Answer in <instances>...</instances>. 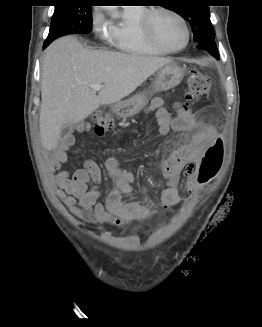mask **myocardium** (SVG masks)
<instances>
[{
  "label": "myocardium",
  "mask_w": 262,
  "mask_h": 327,
  "mask_svg": "<svg viewBox=\"0 0 262 327\" xmlns=\"http://www.w3.org/2000/svg\"><path fill=\"white\" fill-rule=\"evenodd\" d=\"M159 12H165V13L173 15L177 19H179L181 21V23L183 24V26L186 30V40H185V43L181 47L169 48V47L165 46L158 39V37L155 33V30H154L153 20H154L155 14H157ZM140 24H141L142 31L145 34V36L147 37V39L155 47L159 48L160 50H162L166 53H177V52L184 50L188 46L190 39H191V30H190L189 24L186 21V19L184 18V16L182 14H180L178 11H176L172 8H169V7L156 6V7H151V8L146 9V11L144 12V14L141 17Z\"/></svg>",
  "instance_id": "obj_1"
}]
</instances>
